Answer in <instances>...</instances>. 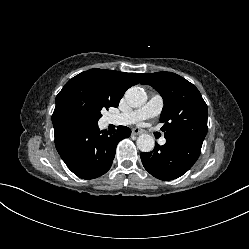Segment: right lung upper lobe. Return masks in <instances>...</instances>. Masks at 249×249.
<instances>
[{
    "mask_svg": "<svg viewBox=\"0 0 249 249\" xmlns=\"http://www.w3.org/2000/svg\"><path fill=\"white\" fill-rule=\"evenodd\" d=\"M145 74L124 73L113 70L90 69L82 72L69 83H86L101 94L111 105L117 107L125 91L133 85L143 83Z\"/></svg>",
    "mask_w": 249,
    "mask_h": 249,
    "instance_id": "right-lung-upper-lobe-1",
    "label": "right lung upper lobe"
}]
</instances>
